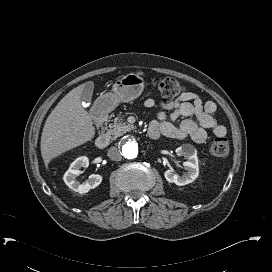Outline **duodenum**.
<instances>
[{
    "label": "duodenum",
    "mask_w": 272,
    "mask_h": 272,
    "mask_svg": "<svg viewBox=\"0 0 272 272\" xmlns=\"http://www.w3.org/2000/svg\"><path fill=\"white\" fill-rule=\"evenodd\" d=\"M90 117L95 123H104L108 117V104L101 103L95 106L90 112ZM147 136L150 139H158L161 136L159 128L156 125H150L147 130ZM109 142V136L103 134L96 139V146L103 149L109 145Z\"/></svg>",
    "instance_id": "duodenum-1"
}]
</instances>
